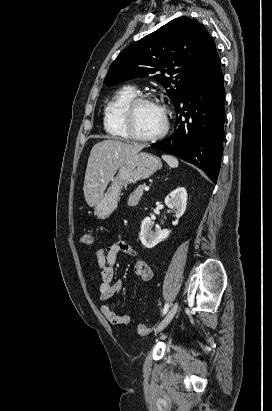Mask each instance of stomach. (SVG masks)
<instances>
[{
	"label": "stomach",
	"instance_id": "1",
	"mask_svg": "<svg viewBox=\"0 0 272 411\" xmlns=\"http://www.w3.org/2000/svg\"><path fill=\"white\" fill-rule=\"evenodd\" d=\"M161 167L160 158L146 152L138 153L124 162L117 174L111 178L109 188L95 206L96 217L101 220L107 219L117 208L124 186L149 178Z\"/></svg>",
	"mask_w": 272,
	"mask_h": 411
}]
</instances>
